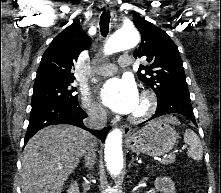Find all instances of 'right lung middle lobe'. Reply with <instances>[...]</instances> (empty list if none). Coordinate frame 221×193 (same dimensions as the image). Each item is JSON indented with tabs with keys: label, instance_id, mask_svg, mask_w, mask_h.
<instances>
[{
	"label": "right lung middle lobe",
	"instance_id": "dd1d6c3e",
	"mask_svg": "<svg viewBox=\"0 0 221 193\" xmlns=\"http://www.w3.org/2000/svg\"><path fill=\"white\" fill-rule=\"evenodd\" d=\"M73 81L51 82L34 85L31 106L52 102L78 103L76 88L71 86Z\"/></svg>",
	"mask_w": 221,
	"mask_h": 193
}]
</instances>
